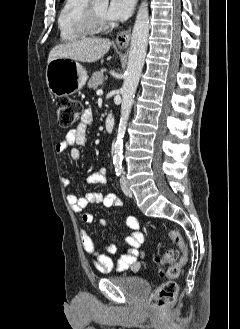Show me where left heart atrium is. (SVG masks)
Returning a JSON list of instances; mask_svg holds the SVG:
<instances>
[{
  "label": "left heart atrium",
  "mask_w": 240,
  "mask_h": 329,
  "mask_svg": "<svg viewBox=\"0 0 240 329\" xmlns=\"http://www.w3.org/2000/svg\"><path fill=\"white\" fill-rule=\"evenodd\" d=\"M134 3L135 0H110L105 17L112 21H123L131 15Z\"/></svg>",
  "instance_id": "1"
}]
</instances>
